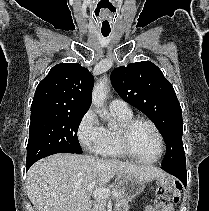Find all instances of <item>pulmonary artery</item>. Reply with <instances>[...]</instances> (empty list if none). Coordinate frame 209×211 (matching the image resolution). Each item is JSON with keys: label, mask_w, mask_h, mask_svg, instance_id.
I'll use <instances>...</instances> for the list:
<instances>
[{"label": "pulmonary artery", "mask_w": 209, "mask_h": 211, "mask_svg": "<svg viewBox=\"0 0 209 211\" xmlns=\"http://www.w3.org/2000/svg\"><path fill=\"white\" fill-rule=\"evenodd\" d=\"M114 112L128 113L131 112L128 104L122 99H113L109 105Z\"/></svg>", "instance_id": "e3ab8cb5"}]
</instances>
